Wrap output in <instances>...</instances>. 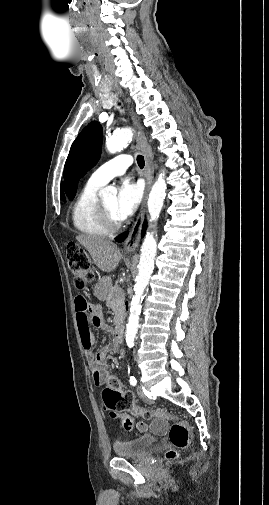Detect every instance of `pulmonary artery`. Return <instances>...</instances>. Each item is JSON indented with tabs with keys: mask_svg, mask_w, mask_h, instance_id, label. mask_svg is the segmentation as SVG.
Here are the masks:
<instances>
[{
	"mask_svg": "<svg viewBox=\"0 0 269 505\" xmlns=\"http://www.w3.org/2000/svg\"><path fill=\"white\" fill-rule=\"evenodd\" d=\"M132 164L130 155L122 154L107 161L98 167L90 176L89 181L103 186L112 178L125 173L127 168Z\"/></svg>",
	"mask_w": 269,
	"mask_h": 505,
	"instance_id": "pulmonary-artery-1",
	"label": "pulmonary artery"
}]
</instances>
